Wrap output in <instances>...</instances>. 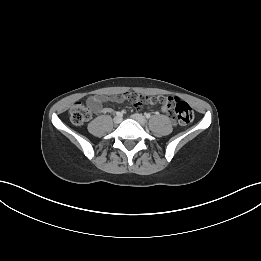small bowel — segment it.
Returning <instances> with one entry per match:
<instances>
[{"label": "small bowel", "instance_id": "obj_1", "mask_svg": "<svg viewBox=\"0 0 261 261\" xmlns=\"http://www.w3.org/2000/svg\"><path fill=\"white\" fill-rule=\"evenodd\" d=\"M130 103L135 108L144 107H156L159 104V99L156 96H149L147 94H142L136 92L135 90L125 91L122 95L117 93L114 97L111 94L107 96H91L87 100V105L89 108L97 113H109L111 112L110 108L104 107L105 102ZM162 112L167 113L166 108L162 106Z\"/></svg>", "mask_w": 261, "mask_h": 261}]
</instances>
